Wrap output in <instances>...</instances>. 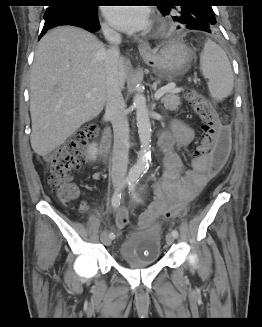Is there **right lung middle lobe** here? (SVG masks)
<instances>
[{"instance_id":"right-lung-middle-lobe-1","label":"right lung middle lobe","mask_w":262,"mask_h":327,"mask_svg":"<svg viewBox=\"0 0 262 327\" xmlns=\"http://www.w3.org/2000/svg\"><path fill=\"white\" fill-rule=\"evenodd\" d=\"M63 1V2H73L74 0H60V2ZM81 7H94L92 5H85V6H81Z\"/></svg>"}]
</instances>
